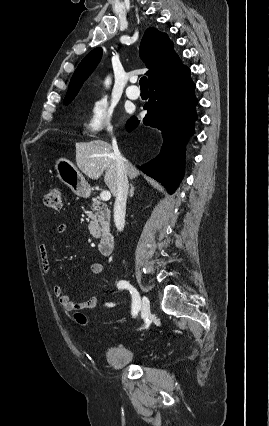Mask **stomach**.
I'll use <instances>...</instances> for the list:
<instances>
[{
	"instance_id": "stomach-1",
	"label": "stomach",
	"mask_w": 269,
	"mask_h": 426,
	"mask_svg": "<svg viewBox=\"0 0 269 426\" xmlns=\"http://www.w3.org/2000/svg\"><path fill=\"white\" fill-rule=\"evenodd\" d=\"M54 167L59 180L66 184L74 194L80 197H86L90 194V185L71 161L63 157L58 158Z\"/></svg>"
}]
</instances>
